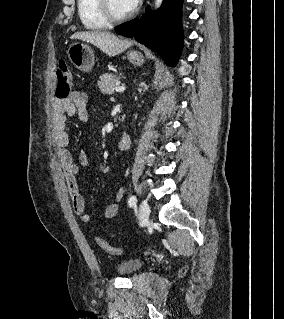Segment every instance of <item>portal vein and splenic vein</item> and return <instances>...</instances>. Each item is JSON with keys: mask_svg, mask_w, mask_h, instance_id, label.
<instances>
[{"mask_svg": "<svg viewBox=\"0 0 284 319\" xmlns=\"http://www.w3.org/2000/svg\"><path fill=\"white\" fill-rule=\"evenodd\" d=\"M116 92H124L125 91V87L124 86H118L115 88Z\"/></svg>", "mask_w": 284, "mask_h": 319, "instance_id": "portal-vein-and-splenic-vein-1", "label": "portal vein and splenic vein"}]
</instances>
